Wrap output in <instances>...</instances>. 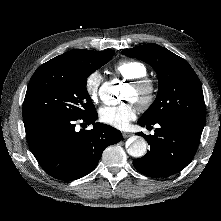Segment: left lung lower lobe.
Here are the masks:
<instances>
[{
    "mask_svg": "<svg viewBox=\"0 0 221 221\" xmlns=\"http://www.w3.org/2000/svg\"><path fill=\"white\" fill-rule=\"evenodd\" d=\"M142 127L159 124L154 135L143 136L150 150L142 158L135 159L133 165L140 173L150 177H165L178 173L193 159L198 148L204 124L164 119L156 122L138 121Z\"/></svg>",
    "mask_w": 221,
    "mask_h": 221,
    "instance_id": "0a47b994",
    "label": "left lung lower lobe"
}]
</instances>
